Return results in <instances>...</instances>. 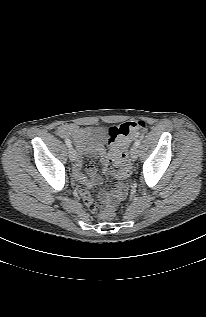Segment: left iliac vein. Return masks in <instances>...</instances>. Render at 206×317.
<instances>
[{"instance_id":"4c4485c4","label":"left iliac vein","mask_w":206,"mask_h":317,"mask_svg":"<svg viewBox=\"0 0 206 317\" xmlns=\"http://www.w3.org/2000/svg\"><path fill=\"white\" fill-rule=\"evenodd\" d=\"M130 155H131V158L133 160L137 159V157H138V148H137V146H135V145L132 146L131 151H130Z\"/></svg>"}]
</instances>
